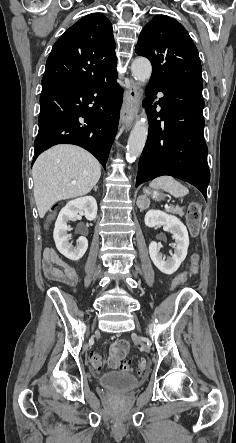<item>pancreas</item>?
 Instances as JSON below:
<instances>
[{
    "label": "pancreas",
    "instance_id": "cf45deb5",
    "mask_svg": "<svg viewBox=\"0 0 236 443\" xmlns=\"http://www.w3.org/2000/svg\"><path fill=\"white\" fill-rule=\"evenodd\" d=\"M168 211L173 213V214H177L179 216H183L184 215V208L183 207L170 208Z\"/></svg>",
    "mask_w": 236,
    "mask_h": 443
}]
</instances>
